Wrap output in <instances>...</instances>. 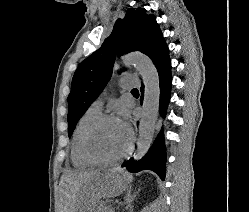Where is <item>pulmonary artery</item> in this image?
Instances as JSON below:
<instances>
[{
  "mask_svg": "<svg viewBox=\"0 0 249 212\" xmlns=\"http://www.w3.org/2000/svg\"><path fill=\"white\" fill-rule=\"evenodd\" d=\"M120 87L123 88V89H132L133 88V85L132 84H129V83H125V82H120ZM103 98L102 97H99L97 98L93 103H92V107L98 109V110H101L102 107H103Z\"/></svg>",
  "mask_w": 249,
  "mask_h": 212,
  "instance_id": "e3ab8cb5",
  "label": "pulmonary artery"
}]
</instances>
